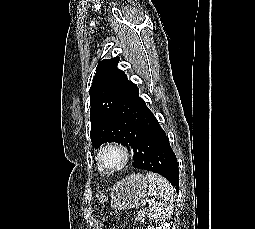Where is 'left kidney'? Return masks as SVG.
<instances>
[{
  "instance_id": "1",
  "label": "left kidney",
  "mask_w": 255,
  "mask_h": 229,
  "mask_svg": "<svg viewBox=\"0 0 255 229\" xmlns=\"http://www.w3.org/2000/svg\"><path fill=\"white\" fill-rule=\"evenodd\" d=\"M147 229H170V223L165 222L156 228H147Z\"/></svg>"
}]
</instances>
